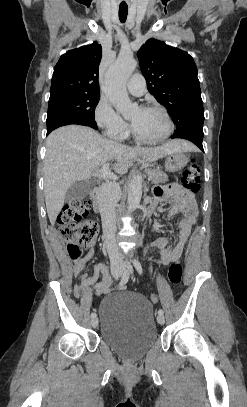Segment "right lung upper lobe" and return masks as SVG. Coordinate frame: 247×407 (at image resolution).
Masks as SVG:
<instances>
[{
    "label": "right lung upper lobe",
    "instance_id": "1",
    "mask_svg": "<svg viewBox=\"0 0 247 407\" xmlns=\"http://www.w3.org/2000/svg\"><path fill=\"white\" fill-rule=\"evenodd\" d=\"M101 56L102 47L96 42L62 55L54 68L50 95L59 92L100 94L98 69Z\"/></svg>",
    "mask_w": 247,
    "mask_h": 407
}]
</instances>
